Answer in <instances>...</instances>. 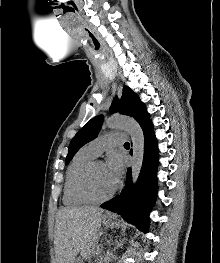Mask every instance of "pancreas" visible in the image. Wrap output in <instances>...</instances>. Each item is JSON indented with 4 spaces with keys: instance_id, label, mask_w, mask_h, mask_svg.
<instances>
[{
    "instance_id": "obj_1",
    "label": "pancreas",
    "mask_w": 220,
    "mask_h": 263,
    "mask_svg": "<svg viewBox=\"0 0 220 263\" xmlns=\"http://www.w3.org/2000/svg\"><path fill=\"white\" fill-rule=\"evenodd\" d=\"M99 247L97 236L93 239V242L83 251L86 254L94 253L95 250Z\"/></svg>"
}]
</instances>
